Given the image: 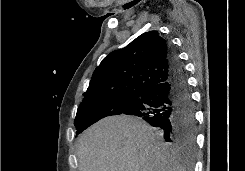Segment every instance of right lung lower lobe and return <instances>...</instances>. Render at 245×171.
<instances>
[{
	"mask_svg": "<svg viewBox=\"0 0 245 171\" xmlns=\"http://www.w3.org/2000/svg\"><path fill=\"white\" fill-rule=\"evenodd\" d=\"M169 78L128 105L122 114L141 117L187 157L195 153L196 120L185 71L170 45Z\"/></svg>",
	"mask_w": 245,
	"mask_h": 171,
	"instance_id": "98d812e1",
	"label": "right lung lower lobe"
}]
</instances>
